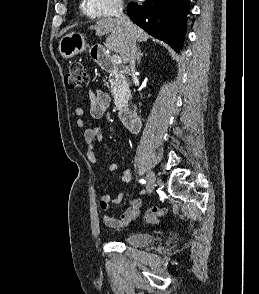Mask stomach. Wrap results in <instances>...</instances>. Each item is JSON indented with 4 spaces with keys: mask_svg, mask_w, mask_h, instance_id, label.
Listing matches in <instances>:
<instances>
[{
    "mask_svg": "<svg viewBox=\"0 0 259 294\" xmlns=\"http://www.w3.org/2000/svg\"><path fill=\"white\" fill-rule=\"evenodd\" d=\"M86 47L85 38L81 33L70 32L61 38L58 49L62 57L69 59L85 51Z\"/></svg>",
    "mask_w": 259,
    "mask_h": 294,
    "instance_id": "0dacf381",
    "label": "stomach"
}]
</instances>
